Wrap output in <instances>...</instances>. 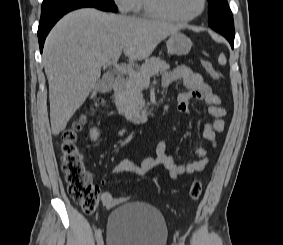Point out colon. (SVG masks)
<instances>
[{
  "label": "colon",
  "mask_w": 283,
  "mask_h": 245,
  "mask_svg": "<svg viewBox=\"0 0 283 245\" xmlns=\"http://www.w3.org/2000/svg\"><path fill=\"white\" fill-rule=\"evenodd\" d=\"M202 65L212 79H220L219 71L211 62L202 60ZM84 122V117L79 118L77 122L64 131L61 138V168L67 185V191L72 200L86 213L93 212L97 208L99 201L107 209L115 208L123 200L114 197L110 192L100 195L98 187L89 180L86 174L83 154L78 146L79 133ZM202 191L201 182H192L189 188L190 199L197 201L201 197Z\"/></svg>",
  "instance_id": "5ec220e1"
}]
</instances>
